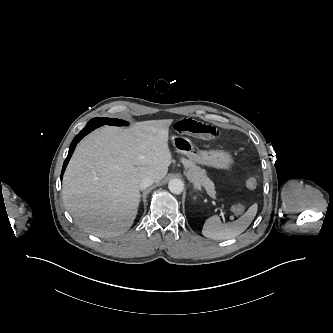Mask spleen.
Returning a JSON list of instances; mask_svg holds the SVG:
<instances>
[{
    "instance_id": "obj_1",
    "label": "spleen",
    "mask_w": 333,
    "mask_h": 333,
    "mask_svg": "<svg viewBox=\"0 0 333 333\" xmlns=\"http://www.w3.org/2000/svg\"><path fill=\"white\" fill-rule=\"evenodd\" d=\"M257 208V204L251 205L239 219L230 223H222L218 216H212L205 221L202 234L213 240H227L234 238L248 228L256 216ZM232 210H236V207H233Z\"/></svg>"
}]
</instances>
